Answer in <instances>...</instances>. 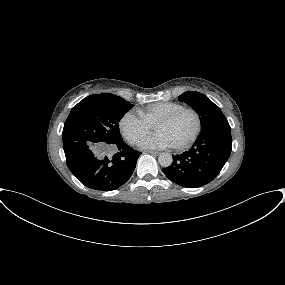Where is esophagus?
<instances>
[{"label": "esophagus", "instance_id": "1", "mask_svg": "<svg viewBox=\"0 0 285 285\" xmlns=\"http://www.w3.org/2000/svg\"><path fill=\"white\" fill-rule=\"evenodd\" d=\"M147 153L151 155H159V152H156V151H147Z\"/></svg>", "mask_w": 285, "mask_h": 285}]
</instances>
